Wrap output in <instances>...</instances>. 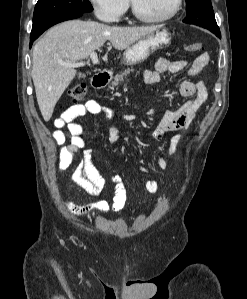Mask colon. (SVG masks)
<instances>
[{
	"label": "colon",
	"mask_w": 247,
	"mask_h": 299,
	"mask_svg": "<svg viewBox=\"0 0 247 299\" xmlns=\"http://www.w3.org/2000/svg\"><path fill=\"white\" fill-rule=\"evenodd\" d=\"M187 52H200L203 50V45L199 42L188 44L185 46ZM86 94V86L84 84H76L68 90L69 97L74 101H80Z\"/></svg>",
	"instance_id": "obj_1"
}]
</instances>
